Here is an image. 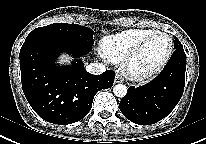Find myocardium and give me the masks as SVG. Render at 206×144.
I'll return each mask as SVG.
<instances>
[{
	"mask_svg": "<svg viewBox=\"0 0 206 144\" xmlns=\"http://www.w3.org/2000/svg\"><path fill=\"white\" fill-rule=\"evenodd\" d=\"M156 36H165L169 40V50L166 56L156 66L148 70H138L135 68V61L143 52L148 43ZM174 51V42L170 35L165 32L156 31L144 38L137 46H135L128 55L122 60V70L124 74L132 80H145L159 73L169 62Z\"/></svg>",
	"mask_w": 206,
	"mask_h": 144,
	"instance_id": "1",
	"label": "myocardium"
}]
</instances>
